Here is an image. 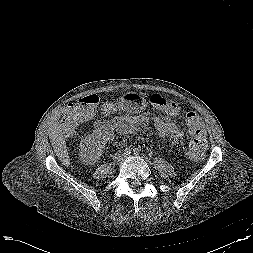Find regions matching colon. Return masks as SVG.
Wrapping results in <instances>:
<instances>
[{
  "mask_svg": "<svg viewBox=\"0 0 253 253\" xmlns=\"http://www.w3.org/2000/svg\"><path fill=\"white\" fill-rule=\"evenodd\" d=\"M99 102L100 98L97 95H88L69 104L65 108L62 116L63 129L67 133L75 131L80 123L91 119L95 115V109ZM150 102L156 108L170 114L177 113V106L173 103H169L158 94L152 95L150 97ZM184 118L192 135V139L187 147V153L191 159L200 160L204 157L208 147L204 123L194 112L186 113Z\"/></svg>",
  "mask_w": 253,
  "mask_h": 253,
  "instance_id": "colon-1",
  "label": "colon"
}]
</instances>
